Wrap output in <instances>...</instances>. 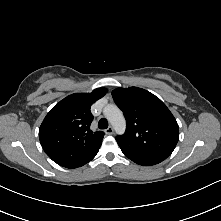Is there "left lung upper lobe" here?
<instances>
[{
    "label": "left lung upper lobe",
    "instance_id": "5c2ea615",
    "mask_svg": "<svg viewBox=\"0 0 221 221\" xmlns=\"http://www.w3.org/2000/svg\"><path fill=\"white\" fill-rule=\"evenodd\" d=\"M126 118V132L118 145L131 150L168 157L178 139L179 127L166 105L147 90L130 87L112 91Z\"/></svg>",
    "mask_w": 221,
    "mask_h": 221
}]
</instances>
